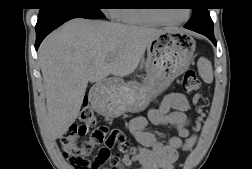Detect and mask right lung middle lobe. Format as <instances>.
Wrapping results in <instances>:
<instances>
[{
  "instance_id": "right-lung-middle-lobe-1",
  "label": "right lung middle lobe",
  "mask_w": 252,
  "mask_h": 169,
  "mask_svg": "<svg viewBox=\"0 0 252 169\" xmlns=\"http://www.w3.org/2000/svg\"><path fill=\"white\" fill-rule=\"evenodd\" d=\"M102 0H43L38 21L54 15L80 13L94 18H104L101 12Z\"/></svg>"
}]
</instances>
